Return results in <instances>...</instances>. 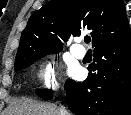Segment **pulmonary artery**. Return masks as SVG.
<instances>
[{
  "instance_id": "e3ab8cb5",
  "label": "pulmonary artery",
  "mask_w": 131,
  "mask_h": 115,
  "mask_svg": "<svg viewBox=\"0 0 131 115\" xmlns=\"http://www.w3.org/2000/svg\"><path fill=\"white\" fill-rule=\"evenodd\" d=\"M70 51L78 59H82L85 56V50L81 46L73 45Z\"/></svg>"
}]
</instances>
